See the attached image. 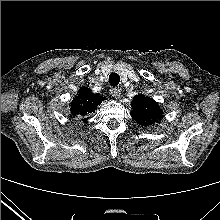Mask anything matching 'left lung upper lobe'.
<instances>
[{"label":"left lung upper lobe","mask_w":220,"mask_h":220,"mask_svg":"<svg viewBox=\"0 0 220 220\" xmlns=\"http://www.w3.org/2000/svg\"><path fill=\"white\" fill-rule=\"evenodd\" d=\"M132 109L131 116L144 127L152 125L155 122L158 123L163 114V111L155 100L145 97L142 94L134 96Z\"/></svg>","instance_id":"left-lung-upper-lobe-1"}]
</instances>
